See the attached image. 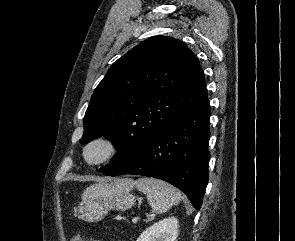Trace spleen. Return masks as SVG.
Listing matches in <instances>:
<instances>
[{"label":"spleen","instance_id":"3e777b00","mask_svg":"<svg viewBox=\"0 0 295 241\" xmlns=\"http://www.w3.org/2000/svg\"><path fill=\"white\" fill-rule=\"evenodd\" d=\"M135 185L147 196L154 213H164L183 199L179 190L162 180L144 177L138 179Z\"/></svg>","mask_w":295,"mask_h":241}]
</instances>
